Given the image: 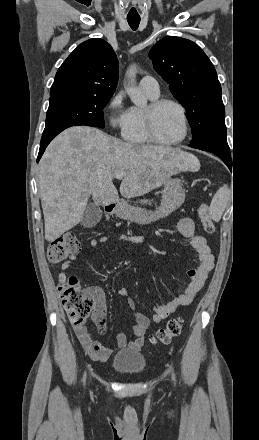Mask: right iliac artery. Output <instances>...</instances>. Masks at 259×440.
Instances as JSON below:
<instances>
[{
  "mask_svg": "<svg viewBox=\"0 0 259 440\" xmlns=\"http://www.w3.org/2000/svg\"><path fill=\"white\" fill-rule=\"evenodd\" d=\"M85 379H86V373L84 374L83 382H85Z\"/></svg>",
  "mask_w": 259,
  "mask_h": 440,
  "instance_id": "1",
  "label": "right iliac artery"
}]
</instances>
